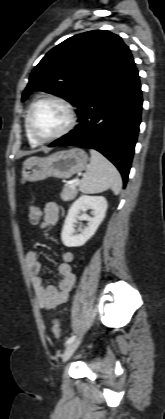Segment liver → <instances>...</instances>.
<instances>
[{
	"label": "liver",
	"instance_id": "6515ba94",
	"mask_svg": "<svg viewBox=\"0 0 165 419\" xmlns=\"http://www.w3.org/2000/svg\"><path fill=\"white\" fill-rule=\"evenodd\" d=\"M32 158H34V157L28 158V159L24 162V164H25L27 161H29L30 159H32Z\"/></svg>",
	"mask_w": 165,
	"mask_h": 419
}]
</instances>
